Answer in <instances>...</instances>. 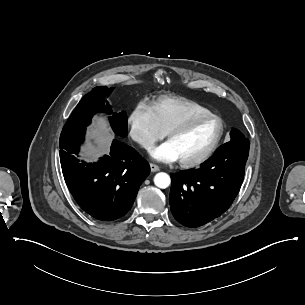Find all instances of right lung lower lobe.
Segmentation results:
<instances>
[{
  "label": "right lung lower lobe",
  "instance_id": "98d812e1",
  "mask_svg": "<svg viewBox=\"0 0 305 305\" xmlns=\"http://www.w3.org/2000/svg\"><path fill=\"white\" fill-rule=\"evenodd\" d=\"M86 128L62 131L60 161L68 189L78 205L98 220L123 217L150 173L148 162L132 147L114 140L109 155L95 163H80Z\"/></svg>",
  "mask_w": 305,
  "mask_h": 305
}]
</instances>
